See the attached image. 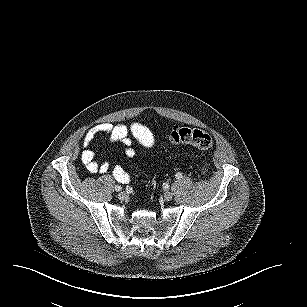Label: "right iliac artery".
<instances>
[{
    "mask_svg": "<svg viewBox=\"0 0 307 307\" xmlns=\"http://www.w3.org/2000/svg\"><path fill=\"white\" fill-rule=\"evenodd\" d=\"M115 190H116V191H121V190H122V187L119 186V185H116V186H115Z\"/></svg>",
    "mask_w": 307,
    "mask_h": 307,
    "instance_id": "1",
    "label": "right iliac artery"
}]
</instances>
